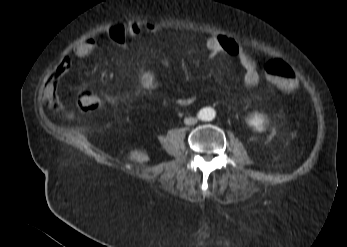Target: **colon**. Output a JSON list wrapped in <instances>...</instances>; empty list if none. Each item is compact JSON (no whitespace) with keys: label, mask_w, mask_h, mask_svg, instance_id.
I'll return each mask as SVG.
<instances>
[{"label":"colon","mask_w":347,"mask_h":247,"mask_svg":"<svg viewBox=\"0 0 347 247\" xmlns=\"http://www.w3.org/2000/svg\"><path fill=\"white\" fill-rule=\"evenodd\" d=\"M266 73L273 87L283 93H292L297 80L292 68L284 61H272L266 65ZM76 105L82 111H93L100 107L101 100L95 93L82 92L76 98Z\"/></svg>","instance_id":"obj_1"}]
</instances>
